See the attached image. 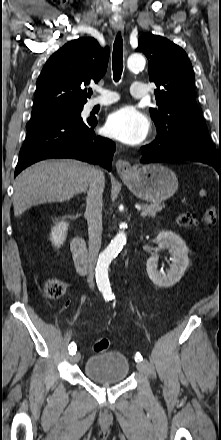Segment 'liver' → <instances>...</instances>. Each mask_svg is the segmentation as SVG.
<instances>
[{
	"mask_svg": "<svg viewBox=\"0 0 221 440\" xmlns=\"http://www.w3.org/2000/svg\"><path fill=\"white\" fill-rule=\"evenodd\" d=\"M94 168L77 160H46L22 171L14 182L13 206L16 217L32 206L63 202L84 192Z\"/></svg>",
	"mask_w": 221,
	"mask_h": 440,
	"instance_id": "liver-1",
	"label": "liver"
}]
</instances>
